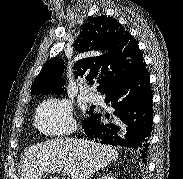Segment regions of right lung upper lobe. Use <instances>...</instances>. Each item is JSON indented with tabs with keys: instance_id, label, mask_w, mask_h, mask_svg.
Segmentation results:
<instances>
[{
	"instance_id": "obj_1",
	"label": "right lung upper lobe",
	"mask_w": 183,
	"mask_h": 179,
	"mask_svg": "<svg viewBox=\"0 0 183 179\" xmlns=\"http://www.w3.org/2000/svg\"><path fill=\"white\" fill-rule=\"evenodd\" d=\"M79 60L74 64L75 76L88 81L98 78V91L133 74L144 63L138 43L117 20L98 16L90 18L74 43ZM64 61L48 60L31 86V94H62Z\"/></svg>"
}]
</instances>
